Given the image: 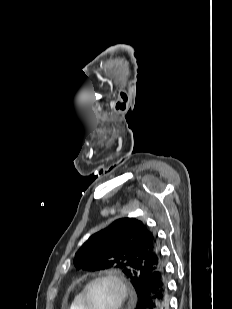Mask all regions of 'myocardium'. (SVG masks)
I'll return each instance as SVG.
<instances>
[{
  "mask_svg": "<svg viewBox=\"0 0 232 309\" xmlns=\"http://www.w3.org/2000/svg\"><path fill=\"white\" fill-rule=\"evenodd\" d=\"M99 281H109L117 287L119 291V299H118V304L116 305L114 309H124L126 302L129 299L130 290L125 280L123 279V277L120 274L114 273V272L100 273L94 276L93 278H91L86 283V285L83 288L82 297H81L82 309H90L88 305L89 289L93 284Z\"/></svg>",
  "mask_w": 232,
  "mask_h": 309,
  "instance_id": "1",
  "label": "myocardium"
}]
</instances>
